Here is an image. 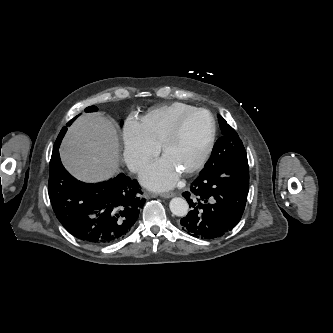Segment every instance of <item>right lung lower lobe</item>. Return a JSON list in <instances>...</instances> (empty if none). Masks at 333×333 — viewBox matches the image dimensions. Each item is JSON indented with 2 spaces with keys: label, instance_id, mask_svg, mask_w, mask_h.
Masks as SVG:
<instances>
[{
  "label": "right lung lower lobe",
  "instance_id": "right-lung-lower-lobe-1",
  "mask_svg": "<svg viewBox=\"0 0 333 333\" xmlns=\"http://www.w3.org/2000/svg\"><path fill=\"white\" fill-rule=\"evenodd\" d=\"M66 131V127L61 130L50 160L48 193L56 217L81 241L117 242L130 232L146 201L141 187L123 173L96 184L75 179L63 167L58 151Z\"/></svg>",
  "mask_w": 333,
  "mask_h": 333
}]
</instances>
